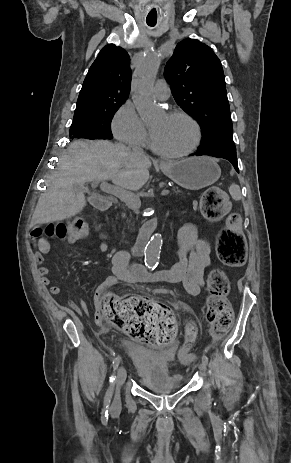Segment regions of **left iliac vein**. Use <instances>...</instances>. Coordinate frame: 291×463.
<instances>
[{"instance_id": "4c4485c4", "label": "left iliac vein", "mask_w": 291, "mask_h": 463, "mask_svg": "<svg viewBox=\"0 0 291 463\" xmlns=\"http://www.w3.org/2000/svg\"><path fill=\"white\" fill-rule=\"evenodd\" d=\"M206 366H207V365H206L205 363L201 362V363L199 364V370H200V372L204 373V372L206 371Z\"/></svg>"}]
</instances>
